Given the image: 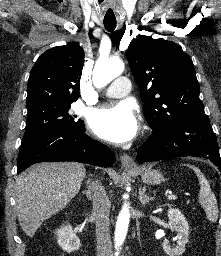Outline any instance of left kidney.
I'll return each instance as SVG.
<instances>
[{"instance_id":"left-kidney-1","label":"left kidney","mask_w":221,"mask_h":256,"mask_svg":"<svg viewBox=\"0 0 221 256\" xmlns=\"http://www.w3.org/2000/svg\"><path fill=\"white\" fill-rule=\"evenodd\" d=\"M169 224L172 230H175L177 235V245L171 247L167 239L163 242V249L169 256H179L184 253L185 245L188 243L189 225L185 216L179 209L170 208L168 210Z\"/></svg>"}]
</instances>
